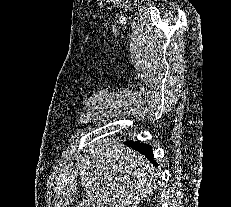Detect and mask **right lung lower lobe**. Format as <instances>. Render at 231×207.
I'll use <instances>...</instances> for the list:
<instances>
[{"label": "right lung lower lobe", "instance_id": "1", "mask_svg": "<svg viewBox=\"0 0 231 207\" xmlns=\"http://www.w3.org/2000/svg\"><path fill=\"white\" fill-rule=\"evenodd\" d=\"M126 144L128 146H131L136 151H139L141 154L145 155L151 162H153L152 149L149 145L133 141L127 142ZM153 163L156 164V162Z\"/></svg>", "mask_w": 231, "mask_h": 207}]
</instances>
